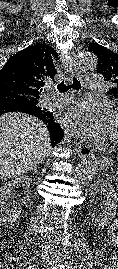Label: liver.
Returning <instances> with one entry per match:
<instances>
[{
  "label": "liver",
  "mask_w": 118,
  "mask_h": 269,
  "mask_svg": "<svg viewBox=\"0 0 118 269\" xmlns=\"http://www.w3.org/2000/svg\"><path fill=\"white\" fill-rule=\"evenodd\" d=\"M50 152L49 131L42 121L20 112L0 116V180L23 175Z\"/></svg>",
  "instance_id": "6515ba94"
}]
</instances>
